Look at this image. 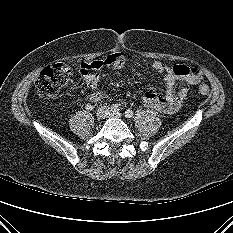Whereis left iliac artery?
Wrapping results in <instances>:
<instances>
[{"label":"left iliac artery","instance_id":"obj_1","mask_svg":"<svg viewBox=\"0 0 233 233\" xmlns=\"http://www.w3.org/2000/svg\"><path fill=\"white\" fill-rule=\"evenodd\" d=\"M125 117L126 118H132L133 117V111L128 109L125 111Z\"/></svg>","mask_w":233,"mask_h":233}]
</instances>
